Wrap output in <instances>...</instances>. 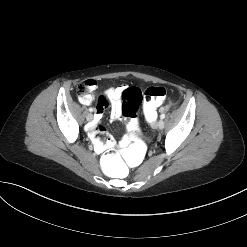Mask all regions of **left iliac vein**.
<instances>
[{
    "label": "left iliac vein",
    "instance_id": "obj_1",
    "mask_svg": "<svg viewBox=\"0 0 247 247\" xmlns=\"http://www.w3.org/2000/svg\"><path fill=\"white\" fill-rule=\"evenodd\" d=\"M156 128H158V129H163V128H164V121H163V120H159V121L156 123Z\"/></svg>",
    "mask_w": 247,
    "mask_h": 247
}]
</instances>
